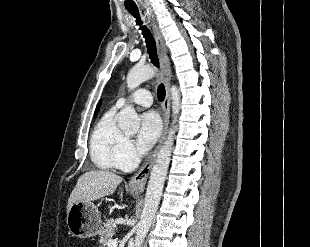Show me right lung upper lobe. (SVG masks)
<instances>
[{
	"instance_id": "cb5924a9",
	"label": "right lung upper lobe",
	"mask_w": 310,
	"mask_h": 247,
	"mask_svg": "<svg viewBox=\"0 0 310 247\" xmlns=\"http://www.w3.org/2000/svg\"><path fill=\"white\" fill-rule=\"evenodd\" d=\"M100 103H101V102H99V104H98V106H97V110H98V108H99V106H100ZM97 110H96V111H97Z\"/></svg>"
}]
</instances>
